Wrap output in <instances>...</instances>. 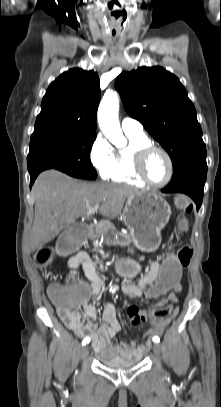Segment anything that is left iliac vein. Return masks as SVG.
I'll use <instances>...</instances> for the list:
<instances>
[{"label":"left iliac vein","mask_w":221,"mask_h":407,"mask_svg":"<svg viewBox=\"0 0 221 407\" xmlns=\"http://www.w3.org/2000/svg\"><path fill=\"white\" fill-rule=\"evenodd\" d=\"M153 351L157 356H160L161 354V345L159 342H155L153 345Z\"/></svg>","instance_id":"left-iliac-vein-1"}]
</instances>
